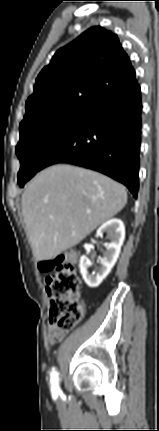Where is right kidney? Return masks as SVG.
I'll use <instances>...</instances> for the list:
<instances>
[{"label": "right kidney", "instance_id": "right-kidney-1", "mask_svg": "<svg viewBox=\"0 0 159 431\" xmlns=\"http://www.w3.org/2000/svg\"><path fill=\"white\" fill-rule=\"evenodd\" d=\"M104 233L108 234L111 242L105 245L106 251L103 257L99 258L100 266L97 271L90 273L88 271V267L90 266L89 259L85 255L80 258V272L85 283L90 288L98 287L110 273L117 261L125 239V227L123 222L116 218L107 221L97 230L96 236L102 237Z\"/></svg>", "mask_w": 159, "mask_h": 431}]
</instances>
